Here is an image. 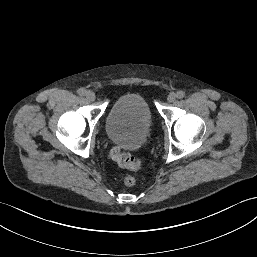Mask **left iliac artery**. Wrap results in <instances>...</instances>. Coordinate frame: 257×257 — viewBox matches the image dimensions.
I'll return each instance as SVG.
<instances>
[{"instance_id": "obj_1", "label": "left iliac artery", "mask_w": 257, "mask_h": 257, "mask_svg": "<svg viewBox=\"0 0 257 257\" xmlns=\"http://www.w3.org/2000/svg\"><path fill=\"white\" fill-rule=\"evenodd\" d=\"M184 96H185V92L184 91H178L177 92V98L182 99V98H184Z\"/></svg>"}]
</instances>
